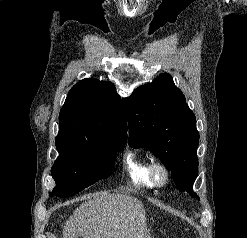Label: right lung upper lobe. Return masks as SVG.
<instances>
[{
	"mask_svg": "<svg viewBox=\"0 0 247 238\" xmlns=\"http://www.w3.org/2000/svg\"><path fill=\"white\" fill-rule=\"evenodd\" d=\"M126 132L121 98L111 82L86 78L71 88L59 114L56 139L126 142Z\"/></svg>",
	"mask_w": 247,
	"mask_h": 238,
	"instance_id": "1",
	"label": "right lung upper lobe"
}]
</instances>
